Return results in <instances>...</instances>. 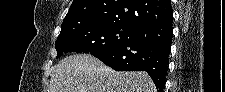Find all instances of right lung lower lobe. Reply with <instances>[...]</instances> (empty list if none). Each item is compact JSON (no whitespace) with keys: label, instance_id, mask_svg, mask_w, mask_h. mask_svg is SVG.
<instances>
[{"label":"right lung lower lobe","instance_id":"98d812e1","mask_svg":"<svg viewBox=\"0 0 225 92\" xmlns=\"http://www.w3.org/2000/svg\"><path fill=\"white\" fill-rule=\"evenodd\" d=\"M172 22L141 26L125 42L92 53L117 71H146L163 92L172 43Z\"/></svg>","mask_w":225,"mask_h":92}]
</instances>
